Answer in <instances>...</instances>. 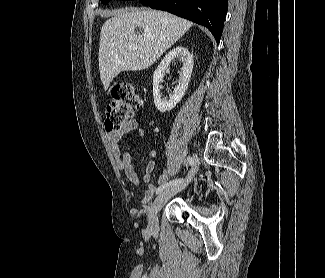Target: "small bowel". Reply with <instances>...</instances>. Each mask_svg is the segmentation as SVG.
Masks as SVG:
<instances>
[{"label":"small bowel","mask_w":325,"mask_h":278,"mask_svg":"<svg viewBox=\"0 0 325 278\" xmlns=\"http://www.w3.org/2000/svg\"><path fill=\"white\" fill-rule=\"evenodd\" d=\"M132 131H137L141 140L145 141V130L139 125L136 119H131L120 129L109 132L107 137L113 146V154L116 160V165L120 171L126 176V178L134 185H140L149 183L152 172L155 167V161L158 157V153L155 150L149 152V157L145 168L139 175L132 164V158L128 151L121 150L117 147L118 141L127 133ZM169 179V171L164 170L157 179L158 184L163 185ZM156 187L154 185H148V188L144 191L143 197L141 199L140 207H146L150 200L152 199Z\"/></svg>","instance_id":"c3829d8e"}]
</instances>
